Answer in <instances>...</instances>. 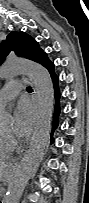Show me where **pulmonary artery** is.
<instances>
[{
	"label": "pulmonary artery",
	"mask_w": 89,
	"mask_h": 203,
	"mask_svg": "<svg viewBox=\"0 0 89 203\" xmlns=\"http://www.w3.org/2000/svg\"><path fill=\"white\" fill-rule=\"evenodd\" d=\"M21 89L22 84L19 81L7 83L0 92V106L4 107L8 101L14 99Z\"/></svg>",
	"instance_id": "1"
}]
</instances>
